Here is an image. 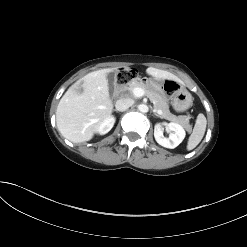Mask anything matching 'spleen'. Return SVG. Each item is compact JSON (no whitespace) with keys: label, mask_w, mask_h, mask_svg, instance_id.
<instances>
[{"label":"spleen","mask_w":247,"mask_h":247,"mask_svg":"<svg viewBox=\"0 0 247 247\" xmlns=\"http://www.w3.org/2000/svg\"><path fill=\"white\" fill-rule=\"evenodd\" d=\"M207 120L204 114L200 113L187 143V150L194 149L202 140L206 130Z\"/></svg>","instance_id":"spleen-1"}]
</instances>
